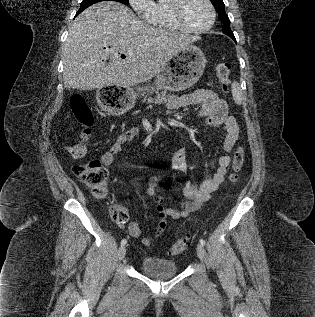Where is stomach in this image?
Segmentation results:
<instances>
[{"label": "stomach", "mask_w": 315, "mask_h": 317, "mask_svg": "<svg viewBox=\"0 0 315 317\" xmlns=\"http://www.w3.org/2000/svg\"><path fill=\"white\" fill-rule=\"evenodd\" d=\"M205 65L206 58L201 49L189 45L172 55L157 73L154 85L139 88L138 91L150 92L155 88L170 91L188 89L200 79ZM99 95H114L101 97L104 111H111V114H130V108L140 104V97L128 84H105V88H99Z\"/></svg>", "instance_id": "1"}]
</instances>
